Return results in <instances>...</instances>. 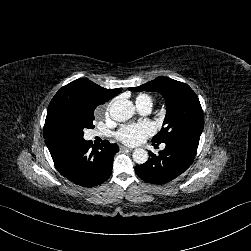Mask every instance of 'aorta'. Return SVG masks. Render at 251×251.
<instances>
[{
    "mask_svg": "<svg viewBox=\"0 0 251 251\" xmlns=\"http://www.w3.org/2000/svg\"><path fill=\"white\" fill-rule=\"evenodd\" d=\"M134 113L133 103L129 100H115L109 108V116L116 122H125L129 120ZM133 160L139 164H145L148 160V153L144 149H136L132 153Z\"/></svg>",
    "mask_w": 251,
    "mask_h": 251,
    "instance_id": "762f6f07",
    "label": "aorta"
}]
</instances>
